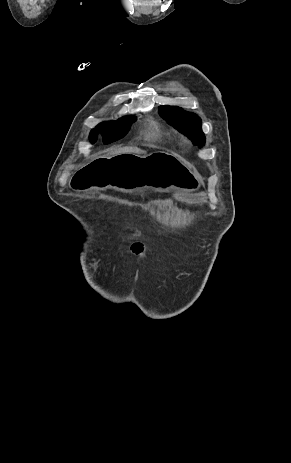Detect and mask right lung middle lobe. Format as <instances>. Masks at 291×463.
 I'll use <instances>...</instances> for the list:
<instances>
[{
    "label": "right lung middle lobe",
    "mask_w": 291,
    "mask_h": 463,
    "mask_svg": "<svg viewBox=\"0 0 291 463\" xmlns=\"http://www.w3.org/2000/svg\"><path fill=\"white\" fill-rule=\"evenodd\" d=\"M135 120V116H128L120 118L118 121L104 122L90 132V141L91 143L96 142L98 132L102 134L104 144H109L119 140L126 135L129 131L130 125Z\"/></svg>",
    "instance_id": "obj_1"
}]
</instances>
